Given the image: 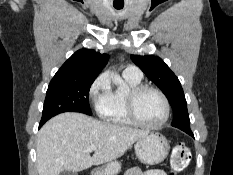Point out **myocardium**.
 <instances>
[{"mask_svg":"<svg viewBox=\"0 0 233 175\" xmlns=\"http://www.w3.org/2000/svg\"><path fill=\"white\" fill-rule=\"evenodd\" d=\"M147 90L157 93L162 99V102L164 104V116L161 119V121L156 124H146L142 122L137 115V111H136L137 99L144 91ZM126 111L129 119L134 125L148 130H156L163 127L168 121L170 116V103L165 93L159 88L147 84H140L136 87L131 88L128 91L126 96Z\"/></svg>","mask_w":233,"mask_h":175,"instance_id":"obj_1","label":"myocardium"}]
</instances>
